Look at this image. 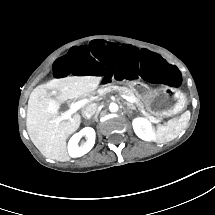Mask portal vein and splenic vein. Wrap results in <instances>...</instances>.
<instances>
[{
  "label": "portal vein and splenic vein",
  "instance_id": "portal-vein-and-splenic-vein-1",
  "mask_svg": "<svg viewBox=\"0 0 215 215\" xmlns=\"http://www.w3.org/2000/svg\"><path fill=\"white\" fill-rule=\"evenodd\" d=\"M121 97H123L124 99H126L127 101H133V99L129 96L126 95H121ZM85 104L84 101H78L74 104H72L71 108L65 113L64 116L61 117H56L54 118L52 121L54 123H60L61 121L68 119L71 117V115L76 112L78 109H80L83 105Z\"/></svg>",
  "mask_w": 215,
  "mask_h": 215
}]
</instances>
